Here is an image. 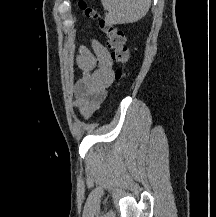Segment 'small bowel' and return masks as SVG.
I'll return each mask as SVG.
<instances>
[{
	"mask_svg": "<svg viewBox=\"0 0 216 217\" xmlns=\"http://www.w3.org/2000/svg\"><path fill=\"white\" fill-rule=\"evenodd\" d=\"M113 57L109 50L96 40L92 50L80 46L76 57L82 78L75 85L74 106L83 118H91L104 101L114 78Z\"/></svg>",
	"mask_w": 216,
	"mask_h": 217,
	"instance_id": "small-bowel-1",
	"label": "small bowel"
}]
</instances>
